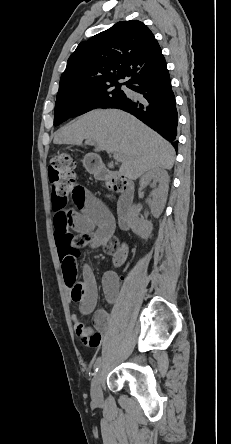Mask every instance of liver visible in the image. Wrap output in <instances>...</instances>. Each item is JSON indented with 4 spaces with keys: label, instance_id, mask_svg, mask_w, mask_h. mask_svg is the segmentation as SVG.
Here are the masks:
<instances>
[{
    "label": "liver",
    "instance_id": "6515ba94",
    "mask_svg": "<svg viewBox=\"0 0 231 444\" xmlns=\"http://www.w3.org/2000/svg\"><path fill=\"white\" fill-rule=\"evenodd\" d=\"M84 139L95 142V152L122 156L120 173L131 180L154 169H171L175 151L172 145L134 116L117 109L93 110L60 128L55 144L81 146Z\"/></svg>",
    "mask_w": 231,
    "mask_h": 444
}]
</instances>
